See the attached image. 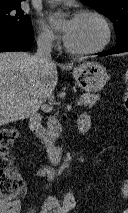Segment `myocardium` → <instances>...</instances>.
<instances>
[{
	"label": "myocardium",
	"mask_w": 128,
	"mask_h": 213,
	"mask_svg": "<svg viewBox=\"0 0 128 213\" xmlns=\"http://www.w3.org/2000/svg\"><path fill=\"white\" fill-rule=\"evenodd\" d=\"M86 16L94 17L101 22L103 29H104V38L98 46H96L94 48H90V49H75V48H72L71 46H69L67 44V42L65 41V49L67 50V52H69L71 54L90 55V54H95V53L101 52L109 45V43L112 39L111 24H110L109 20L102 13H100L96 10H92V9H83V10H79L75 13V18L86 17Z\"/></svg>",
	"instance_id": "obj_1"
}]
</instances>
